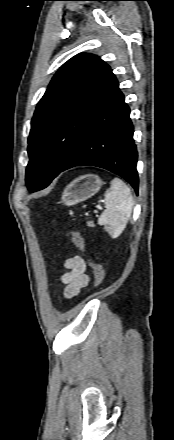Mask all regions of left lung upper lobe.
Instances as JSON below:
<instances>
[{"instance_id":"left-lung-upper-lobe-1","label":"left lung upper lobe","mask_w":174,"mask_h":440,"mask_svg":"<svg viewBox=\"0 0 174 440\" xmlns=\"http://www.w3.org/2000/svg\"><path fill=\"white\" fill-rule=\"evenodd\" d=\"M115 78L110 66L86 53L57 71L31 121L25 179L29 191L44 189L60 173L88 116Z\"/></svg>"}]
</instances>
